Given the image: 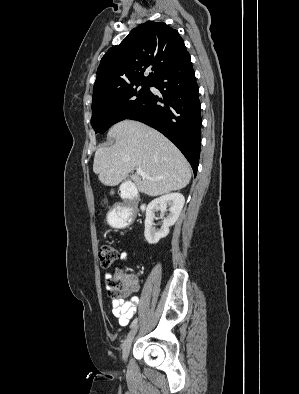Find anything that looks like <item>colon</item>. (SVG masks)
Masks as SVG:
<instances>
[{
  "mask_svg": "<svg viewBox=\"0 0 299 394\" xmlns=\"http://www.w3.org/2000/svg\"><path fill=\"white\" fill-rule=\"evenodd\" d=\"M119 257L116 247L110 244L101 245L98 249V258L100 265L109 267L113 265ZM134 279L131 275L124 272H117L107 282V286L117 300H123L129 297L133 291Z\"/></svg>",
  "mask_w": 299,
  "mask_h": 394,
  "instance_id": "obj_1",
  "label": "colon"
}]
</instances>
